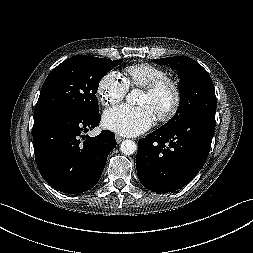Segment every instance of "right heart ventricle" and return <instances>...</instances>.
Returning a JSON list of instances; mask_svg holds the SVG:
<instances>
[{"label":"right heart ventricle","instance_id":"e07e8e85","mask_svg":"<svg viewBox=\"0 0 253 253\" xmlns=\"http://www.w3.org/2000/svg\"><path fill=\"white\" fill-rule=\"evenodd\" d=\"M165 77V72L158 66L142 62L127 66L123 80L127 87H145L157 79Z\"/></svg>","mask_w":253,"mask_h":253}]
</instances>
